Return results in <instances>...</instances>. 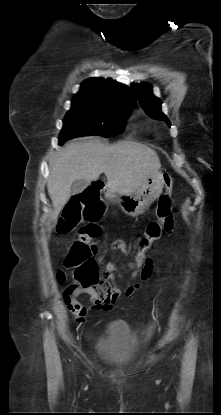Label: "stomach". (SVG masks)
Masks as SVG:
<instances>
[{
	"mask_svg": "<svg viewBox=\"0 0 221 415\" xmlns=\"http://www.w3.org/2000/svg\"><path fill=\"white\" fill-rule=\"evenodd\" d=\"M163 187V174L157 172L149 175L135 194L120 195L107 190L105 197L109 202L117 204L126 215L135 217L143 214L149 208L162 193Z\"/></svg>",
	"mask_w": 221,
	"mask_h": 415,
	"instance_id": "stomach-1",
	"label": "stomach"
}]
</instances>
